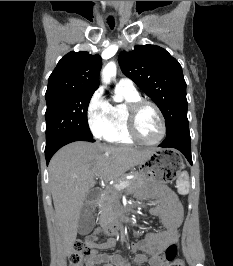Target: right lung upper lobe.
<instances>
[{
	"mask_svg": "<svg viewBox=\"0 0 233 266\" xmlns=\"http://www.w3.org/2000/svg\"><path fill=\"white\" fill-rule=\"evenodd\" d=\"M102 60L88 52H69L57 64L48 80L45 98L77 92H94L99 87Z\"/></svg>",
	"mask_w": 233,
	"mask_h": 266,
	"instance_id": "right-lung-upper-lobe-1",
	"label": "right lung upper lobe"
}]
</instances>
